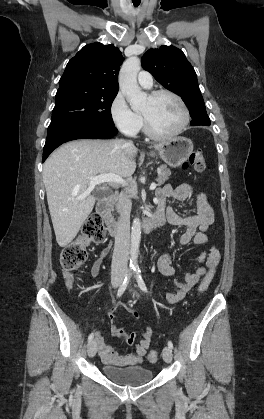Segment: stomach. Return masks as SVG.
<instances>
[{
  "mask_svg": "<svg viewBox=\"0 0 264 419\" xmlns=\"http://www.w3.org/2000/svg\"><path fill=\"white\" fill-rule=\"evenodd\" d=\"M157 151L160 158L169 166L178 167L192 153L193 143L188 138L175 137L167 142H164L161 148Z\"/></svg>",
  "mask_w": 264,
  "mask_h": 419,
  "instance_id": "stomach-1",
  "label": "stomach"
}]
</instances>
